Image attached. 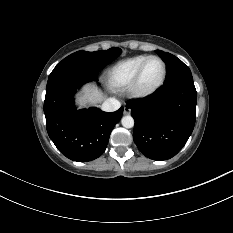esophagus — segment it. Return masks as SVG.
Here are the masks:
<instances>
[{
	"mask_svg": "<svg viewBox=\"0 0 233 233\" xmlns=\"http://www.w3.org/2000/svg\"><path fill=\"white\" fill-rule=\"evenodd\" d=\"M131 113V109L128 106H124V114L128 115Z\"/></svg>",
	"mask_w": 233,
	"mask_h": 233,
	"instance_id": "1",
	"label": "esophagus"
}]
</instances>
